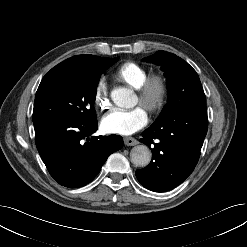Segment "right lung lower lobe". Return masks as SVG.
<instances>
[{"label":"right lung lower lobe","instance_id":"98d812e1","mask_svg":"<svg viewBox=\"0 0 247 247\" xmlns=\"http://www.w3.org/2000/svg\"><path fill=\"white\" fill-rule=\"evenodd\" d=\"M97 121L49 120L34 124L39 154L50 175L69 188L82 187L99 173L107 158L123 147L118 135L91 136Z\"/></svg>","mask_w":247,"mask_h":247}]
</instances>
